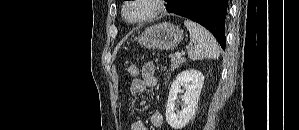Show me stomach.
<instances>
[{
  "label": "stomach",
  "mask_w": 299,
  "mask_h": 130,
  "mask_svg": "<svg viewBox=\"0 0 299 130\" xmlns=\"http://www.w3.org/2000/svg\"><path fill=\"white\" fill-rule=\"evenodd\" d=\"M183 39V30L169 22L151 26L136 41L140 46L156 50H173Z\"/></svg>",
  "instance_id": "1"
}]
</instances>
